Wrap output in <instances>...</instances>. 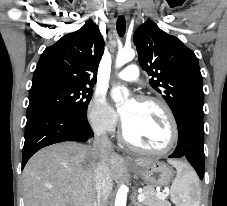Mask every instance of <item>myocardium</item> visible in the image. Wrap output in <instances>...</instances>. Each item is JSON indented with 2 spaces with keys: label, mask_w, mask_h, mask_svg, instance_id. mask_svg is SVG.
Instances as JSON below:
<instances>
[{
  "label": "myocardium",
  "mask_w": 227,
  "mask_h": 206,
  "mask_svg": "<svg viewBox=\"0 0 227 206\" xmlns=\"http://www.w3.org/2000/svg\"><path fill=\"white\" fill-rule=\"evenodd\" d=\"M138 102L143 103V104H154L159 106L165 113L168 121H169V125H170V140L168 142V144L161 149H148V148H144L140 145H138L137 143H135L127 134V131L125 129V126H123L122 128V138L125 141V143L127 145H129L131 148L142 152V153H146V154H151V155H163L166 154L168 152H170L175 145L177 144L178 141V137H179V129H178V124H177V120L175 118V115L173 113V111L171 110V108L169 107V105L163 101L160 98L157 97H153V96H140L138 97Z\"/></svg>",
  "instance_id": "f54148a6"
}]
</instances>
